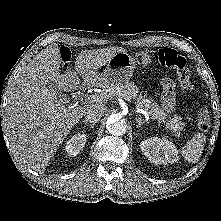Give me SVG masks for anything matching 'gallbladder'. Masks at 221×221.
<instances>
[{
  "instance_id": "bac80fb5",
  "label": "gallbladder",
  "mask_w": 221,
  "mask_h": 221,
  "mask_svg": "<svg viewBox=\"0 0 221 221\" xmlns=\"http://www.w3.org/2000/svg\"><path fill=\"white\" fill-rule=\"evenodd\" d=\"M58 97H61L62 99L66 98V95L62 94L61 92L57 91Z\"/></svg>"
}]
</instances>
